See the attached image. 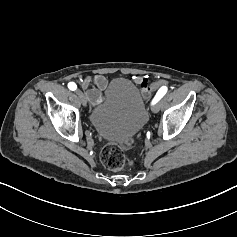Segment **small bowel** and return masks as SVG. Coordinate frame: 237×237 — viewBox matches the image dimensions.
Segmentation results:
<instances>
[{
	"label": "small bowel",
	"mask_w": 237,
	"mask_h": 237,
	"mask_svg": "<svg viewBox=\"0 0 237 237\" xmlns=\"http://www.w3.org/2000/svg\"><path fill=\"white\" fill-rule=\"evenodd\" d=\"M135 81L140 85L142 92L148 95L149 92V81L144 76H137ZM162 84L166 83L165 80L161 81ZM81 84L85 89L86 96L92 104H98L102 100L101 92L105 90L108 85V80L105 76L97 74L93 77H85L81 80Z\"/></svg>",
	"instance_id": "1"
}]
</instances>
